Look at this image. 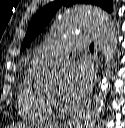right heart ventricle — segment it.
Wrapping results in <instances>:
<instances>
[{"label": "right heart ventricle", "mask_w": 125, "mask_h": 128, "mask_svg": "<svg viewBox=\"0 0 125 128\" xmlns=\"http://www.w3.org/2000/svg\"><path fill=\"white\" fill-rule=\"evenodd\" d=\"M39 65L31 62L25 69L18 93V109L20 115L31 121L46 122L53 116V104L34 83Z\"/></svg>", "instance_id": "obj_1"}]
</instances>
